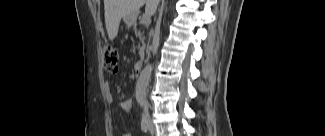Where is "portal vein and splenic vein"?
Listing matches in <instances>:
<instances>
[{
    "label": "portal vein and splenic vein",
    "instance_id": "obj_1",
    "mask_svg": "<svg viewBox=\"0 0 325 136\" xmlns=\"http://www.w3.org/2000/svg\"><path fill=\"white\" fill-rule=\"evenodd\" d=\"M142 23L143 24H149L150 23V15L149 14L146 13L145 15H143Z\"/></svg>",
    "mask_w": 325,
    "mask_h": 136
}]
</instances>
